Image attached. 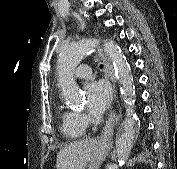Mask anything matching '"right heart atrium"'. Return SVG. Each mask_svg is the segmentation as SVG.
Returning a JSON list of instances; mask_svg holds the SVG:
<instances>
[{"mask_svg":"<svg viewBox=\"0 0 177 169\" xmlns=\"http://www.w3.org/2000/svg\"><path fill=\"white\" fill-rule=\"evenodd\" d=\"M78 115V120L79 122L84 126L87 125L89 123V119L87 116H85L84 114H77Z\"/></svg>","mask_w":177,"mask_h":169,"instance_id":"right-heart-atrium-1","label":"right heart atrium"}]
</instances>
